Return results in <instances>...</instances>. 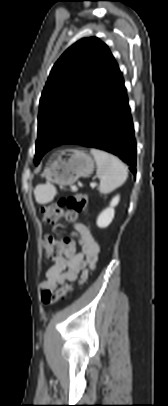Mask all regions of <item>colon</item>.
I'll list each match as a JSON object with an SVG mask.
<instances>
[{
	"instance_id": "colon-1",
	"label": "colon",
	"mask_w": 168,
	"mask_h": 406,
	"mask_svg": "<svg viewBox=\"0 0 168 406\" xmlns=\"http://www.w3.org/2000/svg\"><path fill=\"white\" fill-rule=\"evenodd\" d=\"M87 209V199L82 194L61 198L57 204L49 205L42 210V221L45 224H55L61 220H72ZM46 257L57 259L63 252V242L47 236L44 238ZM72 291L71 284H65L57 290L45 289L41 293V300L45 305H52L65 298Z\"/></svg>"
}]
</instances>
